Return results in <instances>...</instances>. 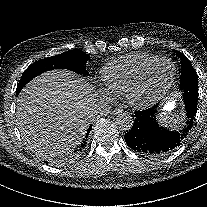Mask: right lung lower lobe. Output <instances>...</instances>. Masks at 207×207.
<instances>
[{
  "mask_svg": "<svg viewBox=\"0 0 207 207\" xmlns=\"http://www.w3.org/2000/svg\"><path fill=\"white\" fill-rule=\"evenodd\" d=\"M91 128H92V127L90 126V128H89V130H88V132H87V134H86V137L88 136V134H89ZM84 144H85V142H83L82 146H84Z\"/></svg>",
  "mask_w": 207,
  "mask_h": 207,
  "instance_id": "1",
  "label": "right lung lower lobe"
}]
</instances>
